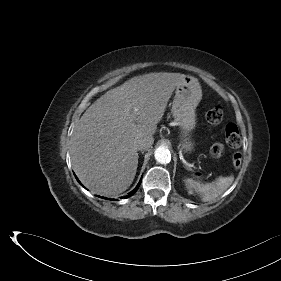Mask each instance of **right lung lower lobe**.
Returning <instances> with one entry per match:
<instances>
[{"mask_svg":"<svg viewBox=\"0 0 281 281\" xmlns=\"http://www.w3.org/2000/svg\"><path fill=\"white\" fill-rule=\"evenodd\" d=\"M76 177V176H75ZM76 179L78 180V178L76 177ZM78 182L80 183V181L78 180ZM141 181L138 183V185L136 186L135 189H133L125 198L131 197L139 188ZM81 184V183H80ZM104 198V197H103Z\"/></svg>","mask_w":281,"mask_h":281,"instance_id":"obj_1","label":"right lung lower lobe"}]
</instances>
